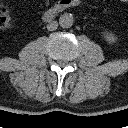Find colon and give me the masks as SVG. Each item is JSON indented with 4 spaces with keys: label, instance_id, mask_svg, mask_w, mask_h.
<instances>
[{
    "label": "colon",
    "instance_id": "1",
    "mask_svg": "<svg viewBox=\"0 0 128 128\" xmlns=\"http://www.w3.org/2000/svg\"><path fill=\"white\" fill-rule=\"evenodd\" d=\"M12 24L13 19L9 9L5 5L0 4V30H9L12 27Z\"/></svg>",
    "mask_w": 128,
    "mask_h": 128
}]
</instances>
